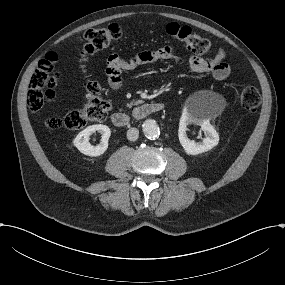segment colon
<instances>
[{"mask_svg": "<svg viewBox=\"0 0 285 285\" xmlns=\"http://www.w3.org/2000/svg\"><path fill=\"white\" fill-rule=\"evenodd\" d=\"M166 34L186 44L195 54H210L213 52L208 39L200 36L188 26L178 23H169L165 26ZM121 27L118 24H111L106 27L89 29L82 38L80 55L82 59L94 54L97 51L109 47L121 37ZM58 56L49 53L40 61L30 81L27 102L33 112H39L45 102L51 100L55 95V86L58 81V73L55 70V63ZM86 102L79 109L70 111L64 116L52 115L46 118L48 128H68L77 130L92 122L103 121L109 111L110 103L101 95V87L97 82L89 81L86 84ZM240 104L246 110L256 109L261 101L257 88L246 87L240 94Z\"/></svg>", "mask_w": 285, "mask_h": 285, "instance_id": "obj_1", "label": "colon"}]
</instances>
